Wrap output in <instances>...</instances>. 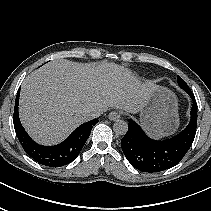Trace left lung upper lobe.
Returning <instances> with one entry per match:
<instances>
[{
    "mask_svg": "<svg viewBox=\"0 0 211 211\" xmlns=\"http://www.w3.org/2000/svg\"><path fill=\"white\" fill-rule=\"evenodd\" d=\"M177 83L179 84L181 88L188 87V85L184 82V80L180 78L179 76H177Z\"/></svg>",
    "mask_w": 211,
    "mask_h": 211,
    "instance_id": "5c2ea615",
    "label": "left lung upper lobe"
}]
</instances>
